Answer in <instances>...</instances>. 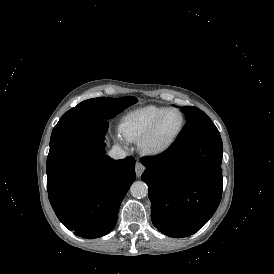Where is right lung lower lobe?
<instances>
[{"label":"right lung lower lobe","mask_w":274,"mask_h":274,"mask_svg":"<svg viewBox=\"0 0 274 274\" xmlns=\"http://www.w3.org/2000/svg\"><path fill=\"white\" fill-rule=\"evenodd\" d=\"M107 120H99L50 147L47 189L59 220L76 235L98 238L117 221L120 204L134 182L135 159L105 155Z\"/></svg>","instance_id":"obj_1"}]
</instances>
